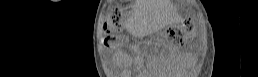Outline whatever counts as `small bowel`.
Here are the masks:
<instances>
[{
  "label": "small bowel",
  "instance_id": "obj_1",
  "mask_svg": "<svg viewBox=\"0 0 258 77\" xmlns=\"http://www.w3.org/2000/svg\"><path fill=\"white\" fill-rule=\"evenodd\" d=\"M118 56L121 57V56H123V54L119 53ZM129 62L131 65L136 66V67L141 66V63H142L141 59L138 57L129 58Z\"/></svg>",
  "mask_w": 258,
  "mask_h": 77
}]
</instances>
